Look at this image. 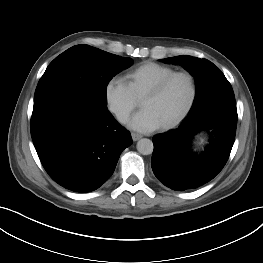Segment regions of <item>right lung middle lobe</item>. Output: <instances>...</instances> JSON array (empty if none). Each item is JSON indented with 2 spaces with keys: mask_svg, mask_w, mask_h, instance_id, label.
<instances>
[{
  "mask_svg": "<svg viewBox=\"0 0 263 263\" xmlns=\"http://www.w3.org/2000/svg\"><path fill=\"white\" fill-rule=\"evenodd\" d=\"M120 57L89 45H77L57 56L41 77L34 105L62 95H76L107 109L106 87L117 73L132 65Z\"/></svg>",
  "mask_w": 263,
  "mask_h": 263,
  "instance_id": "right-lung-middle-lobe-1",
  "label": "right lung middle lobe"
}]
</instances>
